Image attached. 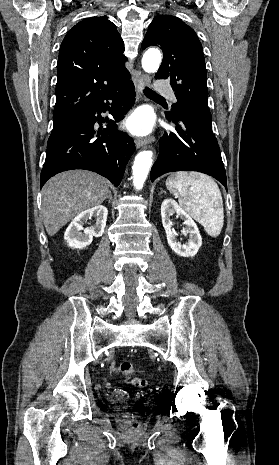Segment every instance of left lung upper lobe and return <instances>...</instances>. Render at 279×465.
Wrapping results in <instances>:
<instances>
[{
	"label": "left lung upper lobe",
	"mask_w": 279,
	"mask_h": 465,
	"mask_svg": "<svg viewBox=\"0 0 279 465\" xmlns=\"http://www.w3.org/2000/svg\"><path fill=\"white\" fill-rule=\"evenodd\" d=\"M152 45L163 50V61L155 77L169 78L177 98L166 117H190L212 129L206 67L197 34L175 16L158 15L149 25L142 48Z\"/></svg>",
	"instance_id": "1"
}]
</instances>
